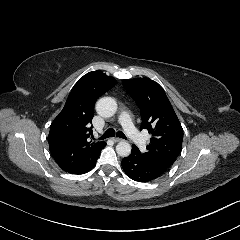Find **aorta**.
Segmentation results:
<instances>
[{"mask_svg": "<svg viewBox=\"0 0 240 240\" xmlns=\"http://www.w3.org/2000/svg\"><path fill=\"white\" fill-rule=\"evenodd\" d=\"M117 111V102L112 97H102L96 103V112L103 118L112 117ZM116 152L121 157H127L131 153V145L127 141H120L116 146Z\"/></svg>", "mask_w": 240, "mask_h": 240, "instance_id": "obj_1", "label": "aorta"}]
</instances>
